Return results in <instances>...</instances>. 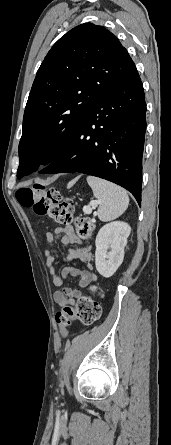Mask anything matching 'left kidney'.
I'll list each match as a JSON object with an SVG mask.
<instances>
[{
	"label": "left kidney",
	"mask_w": 171,
	"mask_h": 445,
	"mask_svg": "<svg viewBox=\"0 0 171 445\" xmlns=\"http://www.w3.org/2000/svg\"><path fill=\"white\" fill-rule=\"evenodd\" d=\"M131 227L122 221L105 224L96 236L95 266L100 275L111 277L124 259Z\"/></svg>",
	"instance_id": "1"
}]
</instances>
